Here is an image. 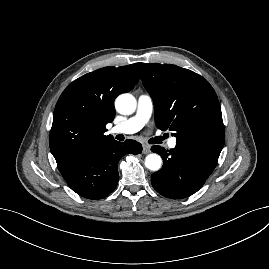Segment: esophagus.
<instances>
[{
  "label": "esophagus",
  "mask_w": 269,
  "mask_h": 269,
  "mask_svg": "<svg viewBox=\"0 0 269 269\" xmlns=\"http://www.w3.org/2000/svg\"><path fill=\"white\" fill-rule=\"evenodd\" d=\"M150 146L149 145H143V154H148L150 153Z\"/></svg>",
  "instance_id": "obj_1"
}]
</instances>
